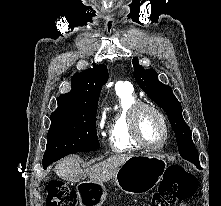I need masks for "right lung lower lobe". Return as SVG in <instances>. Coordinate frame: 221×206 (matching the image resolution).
I'll return each instance as SVG.
<instances>
[{
    "label": "right lung lower lobe",
    "mask_w": 221,
    "mask_h": 206,
    "mask_svg": "<svg viewBox=\"0 0 221 206\" xmlns=\"http://www.w3.org/2000/svg\"><path fill=\"white\" fill-rule=\"evenodd\" d=\"M50 164H43V168L46 169Z\"/></svg>",
    "instance_id": "1"
}]
</instances>
